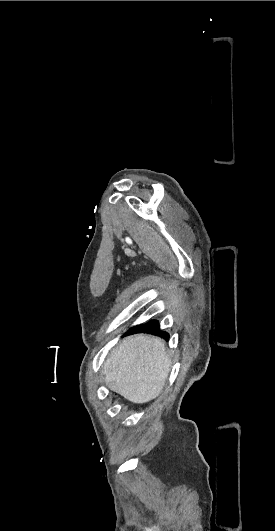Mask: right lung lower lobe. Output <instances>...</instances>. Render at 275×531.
Here are the masks:
<instances>
[{
    "instance_id": "1",
    "label": "right lung lower lobe",
    "mask_w": 275,
    "mask_h": 531,
    "mask_svg": "<svg viewBox=\"0 0 275 531\" xmlns=\"http://www.w3.org/2000/svg\"><path fill=\"white\" fill-rule=\"evenodd\" d=\"M141 332L158 335V336L163 337L164 339H168L169 338V334L168 333L163 332V331H161L159 329V323L156 320H152V321H150V322H148L146 324H142V325H138V326L132 327L131 329H129L128 334L141 333Z\"/></svg>"
}]
</instances>
